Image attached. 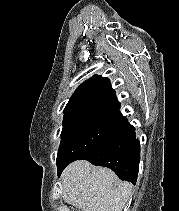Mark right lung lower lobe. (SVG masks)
<instances>
[{"label":"right lung lower lobe","instance_id":"1","mask_svg":"<svg viewBox=\"0 0 179 211\" xmlns=\"http://www.w3.org/2000/svg\"><path fill=\"white\" fill-rule=\"evenodd\" d=\"M81 159L93 165L108 167L120 179L135 184L140 162V143L135 136V128L122 116L112 133L77 160ZM67 165L58 167V175Z\"/></svg>","mask_w":179,"mask_h":211}]
</instances>
